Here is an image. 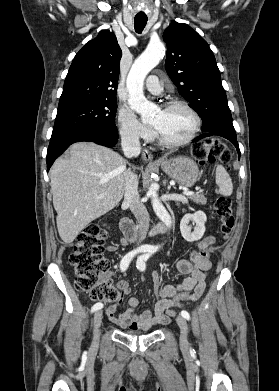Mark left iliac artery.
Listing matches in <instances>:
<instances>
[{
  "mask_svg": "<svg viewBox=\"0 0 279 391\" xmlns=\"http://www.w3.org/2000/svg\"><path fill=\"white\" fill-rule=\"evenodd\" d=\"M148 253L146 254H143L142 256H140L138 259H137V262H136V265H137V268L140 270V271H144L145 268H146V264L145 262L148 260V258L151 256V254L153 253V250L151 249H147ZM181 316L184 317L185 319L189 320L190 319V315L187 311L185 310H182L181 311Z\"/></svg>",
  "mask_w": 279,
  "mask_h": 391,
  "instance_id": "44dca946",
  "label": "left iliac artery"
}]
</instances>
